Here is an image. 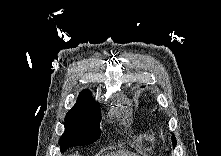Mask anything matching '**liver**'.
Returning <instances> with one entry per match:
<instances>
[{
	"label": "liver",
	"instance_id": "1",
	"mask_svg": "<svg viewBox=\"0 0 221 156\" xmlns=\"http://www.w3.org/2000/svg\"><path fill=\"white\" fill-rule=\"evenodd\" d=\"M108 156H137V154L128 152V151H117V152L111 153Z\"/></svg>",
	"mask_w": 221,
	"mask_h": 156
}]
</instances>
